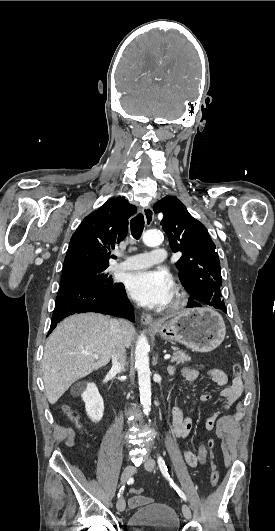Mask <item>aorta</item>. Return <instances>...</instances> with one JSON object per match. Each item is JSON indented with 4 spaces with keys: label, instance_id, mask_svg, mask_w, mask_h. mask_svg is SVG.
I'll return each instance as SVG.
<instances>
[{
    "label": "aorta",
    "instance_id": "obj_1",
    "mask_svg": "<svg viewBox=\"0 0 275 531\" xmlns=\"http://www.w3.org/2000/svg\"><path fill=\"white\" fill-rule=\"evenodd\" d=\"M143 243L147 247H157L161 241L158 231H146L142 237ZM149 345L147 337L140 335L135 347V367L138 373V385L140 391V401L143 405L145 415L151 411V381L149 367Z\"/></svg>",
    "mask_w": 275,
    "mask_h": 531
}]
</instances>
